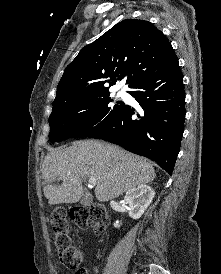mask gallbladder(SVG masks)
<instances>
[{
	"mask_svg": "<svg viewBox=\"0 0 221 274\" xmlns=\"http://www.w3.org/2000/svg\"><path fill=\"white\" fill-rule=\"evenodd\" d=\"M92 201V197L89 193H85L84 196L82 197L80 203L82 205H89Z\"/></svg>",
	"mask_w": 221,
	"mask_h": 274,
	"instance_id": "bac80fb5",
	"label": "gallbladder"
}]
</instances>
